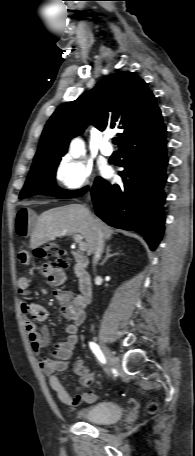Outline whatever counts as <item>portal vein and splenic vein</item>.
Listing matches in <instances>:
<instances>
[{"mask_svg": "<svg viewBox=\"0 0 195 456\" xmlns=\"http://www.w3.org/2000/svg\"><path fill=\"white\" fill-rule=\"evenodd\" d=\"M74 240L79 244V250L85 251L86 250V243L83 241V237L79 234H74Z\"/></svg>", "mask_w": 195, "mask_h": 456, "instance_id": "18ae733b", "label": "portal vein and splenic vein"}]
</instances>
